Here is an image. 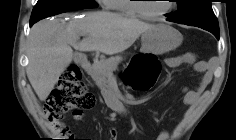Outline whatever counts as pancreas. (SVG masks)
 Returning <instances> with one entry per match:
<instances>
[{"label": "pancreas", "instance_id": "1", "mask_svg": "<svg viewBox=\"0 0 236 140\" xmlns=\"http://www.w3.org/2000/svg\"><path fill=\"white\" fill-rule=\"evenodd\" d=\"M122 59L120 57L104 59L94 61L91 69V77L95 81L96 85L103 91H106L109 95L113 94L109 85L110 79L113 77V71L116 70L118 64Z\"/></svg>", "mask_w": 236, "mask_h": 140}]
</instances>
